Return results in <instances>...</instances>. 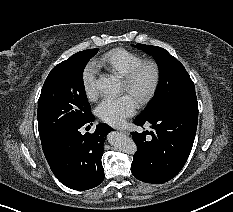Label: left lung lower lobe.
Returning a JSON list of instances; mask_svg holds the SVG:
<instances>
[{
  "mask_svg": "<svg viewBox=\"0 0 233 212\" xmlns=\"http://www.w3.org/2000/svg\"><path fill=\"white\" fill-rule=\"evenodd\" d=\"M197 122L198 109L181 106L163 107L137 117L136 125L150 123L153 131L132 132L138 147L131 165L134 177L153 184L175 177L191 152Z\"/></svg>",
  "mask_w": 233,
  "mask_h": 212,
  "instance_id": "obj_1",
  "label": "left lung lower lobe"
}]
</instances>
